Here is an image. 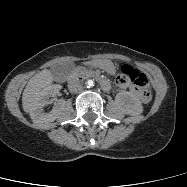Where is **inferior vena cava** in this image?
<instances>
[{
	"label": "inferior vena cava",
	"mask_w": 187,
	"mask_h": 187,
	"mask_svg": "<svg viewBox=\"0 0 187 187\" xmlns=\"http://www.w3.org/2000/svg\"><path fill=\"white\" fill-rule=\"evenodd\" d=\"M68 88L71 93H80L83 90L82 84L74 81L69 83Z\"/></svg>",
	"instance_id": "inferior-vena-cava-1"
}]
</instances>
